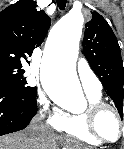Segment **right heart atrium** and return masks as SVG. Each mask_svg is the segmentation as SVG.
Returning a JSON list of instances; mask_svg holds the SVG:
<instances>
[{
	"label": "right heart atrium",
	"instance_id": "1",
	"mask_svg": "<svg viewBox=\"0 0 124 149\" xmlns=\"http://www.w3.org/2000/svg\"><path fill=\"white\" fill-rule=\"evenodd\" d=\"M38 112L42 117H45L46 124L58 130L62 127L67 113L60 107L55 105L50 99L41 96L38 102Z\"/></svg>",
	"mask_w": 124,
	"mask_h": 149
}]
</instances>
